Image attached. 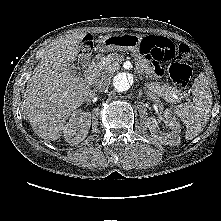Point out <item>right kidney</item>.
<instances>
[{
	"instance_id": "ca27d5eb",
	"label": "right kidney",
	"mask_w": 221,
	"mask_h": 221,
	"mask_svg": "<svg viewBox=\"0 0 221 221\" xmlns=\"http://www.w3.org/2000/svg\"><path fill=\"white\" fill-rule=\"evenodd\" d=\"M91 126V114L82 112L81 110L73 112L63 128V133L66 141L71 145H77L83 141Z\"/></svg>"
}]
</instances>
